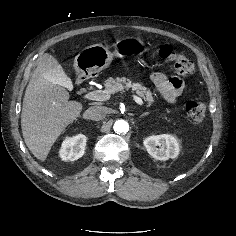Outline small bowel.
<instances>
[{
  "mask_svg": "<svg viewBox=\"0 0 236 236\" xmlns=\"http://www.w3.org/2000/svg\"><path fill=\"white\" fill-rule=\"evenodd\" d=\"M155 90L167 102L174 104L182 94L184 83L180 78L168 77L161 72H155L150 77Z\"/></svg>",
  "mask_w": 236,
  "mask_h": 236,
  "instance_id": "1",
  "label": "small bowel"
}]
</instances>
